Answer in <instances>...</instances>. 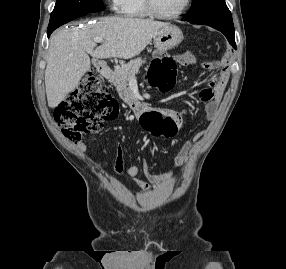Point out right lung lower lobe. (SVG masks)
<instances>
[{
	"label": "right lung lower lobe",
	"mask_w": 286,
	"mask_h": 269,
	"mask_svg": "<svg viewBox=\"0 0 286 269\" xmlns=\"http://www.w3.org/2000/svg\"><path fill=\"white\" fill-rule=\"evenodd\" d=\"M104 9H105V7H104ZM55 29H48L47 30V35H48V37L51 35V33L54 31Z\"/></svg>",
	"instance_id": "1"
}]
</instances>
